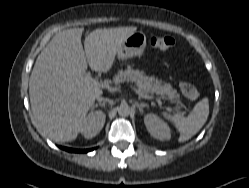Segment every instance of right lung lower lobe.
Here are the masks:
<instances>
[{"instance_id": "obj_1", "label": "right lung lower lobe", "mask_w": 249, "mask_h": 188, "mask_svg": "<svg viewBox=\"0 0 249 188\" xmlns=\"http://www.w3.org/2000/svg\"><path fill=\"white\" fill-rule=\"evenodd\" d=\"M62 149L68 151V152H78V153H86L91 151L92 149H87V150H77V149H72V148H67V147H62Z\"/></svg>"}]
</instances>
